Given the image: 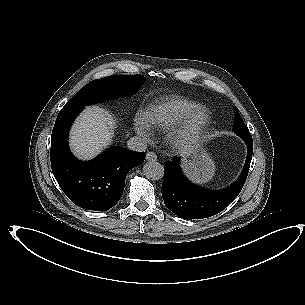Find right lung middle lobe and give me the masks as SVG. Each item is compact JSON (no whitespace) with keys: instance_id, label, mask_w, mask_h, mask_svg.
<instances>
[{"instance_id":"obj_1","label":"right lung middle lobe","mask_w":305,"mask_h":305,"mask_svg":"<svg viewBox=\"0 0 305 305\" xmlns=\"http://www.w3.org/2000/svg\"><path fill=\"white\" fill-rule=\"evenodd\" d=\"M143 77L128 75H114L91 81L81 88L76 95L68 101L66 108L79 110L85 105L101 102L120 94L139 89L143 85Z\"/></svg>"}]
</instances>
